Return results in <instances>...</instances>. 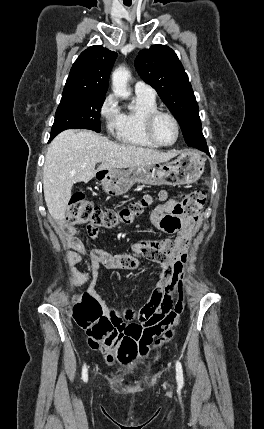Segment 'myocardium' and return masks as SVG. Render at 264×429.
Listing matches in <instances>:
<instances>
[{"mask_svg":"<svg viewBox=\"0 0 264 429\" xmlns=\"http://www.w3.org/2000/svg\"><path fill=\"white\" fill-rule=\"evenodd\" d=\"M161 116L168 117L174 123L175 129H176V136H175L174 140L170 143H167V144L160 142L156 138L155 133H154L155 122ZM144 130H145V133H146V136L148 137V139L158 147H169V146L174 145L177 142L179 135H180V125H179L177 118L172 113L164 111V110H160V109H156V110L150 112L149 114H147V116L145 117V121H144Z\"/></svg>","mask_w":264,"mask_h":429,"instance_id":"obj_1","label":"myocardium"}]
</instances>
